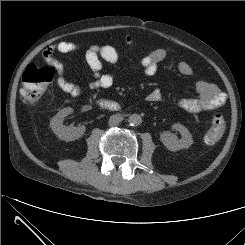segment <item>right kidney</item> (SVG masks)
I'll list each match as a JSON object with an SVG mask.
<instances>
[{"label": "right kidney", "instance_id": "1", "mask_svg": "<svg viewBox=\"0 0 245 245\" xmlns=\"http://www.w3.org/2000/svg\"><path fill=\"white\" fill-rule=\"evenodd\" d=\"M72 112L73 109L70 107L63 108L50 121L52 131L61 140L74 141L79 139L85 133V126L72 127L63 125L64 118Z\"/></svg>", "mask_w": 245, "mask_h": 245}]
</instances>
